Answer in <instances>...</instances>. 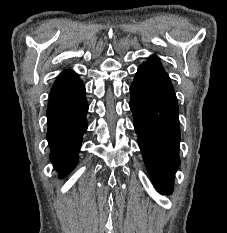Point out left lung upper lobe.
I'll list each match as a JSON object with an SVG mask.
<instances>
[{
	"mask_svg": "<svg viewBox=\"0 0 227 233\" xmlns=\"http://www.w3.org/2000/svg\"><path fill=\"white\" fill-rule=\"evenodd\" d=\"M142 65L151 66V67H154V68L159 69L161 71H164L157 56H151L150 59L148 60V62L143 63Z\"/></svg>",
	"mask_w": 227,
	"mask_h": 233,
	"instance_id": "5c2ea615",
	"label": "left lung upper lobe"
}]
</instances>
